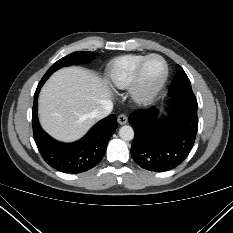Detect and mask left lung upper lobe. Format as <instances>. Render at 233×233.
<instances>
[{"label": "left lung upper lobe", "instance_id": "left-lung-upper-lobe-1", "mask_svg": "<svg viewBox=\"0 0 233 233\" xmlns=\"http://www.w3.org/2000/svg\"><path fill=\"white\" fill-rule=\"evenodd\" d=\"M169 92L172 95H175V94L193 95L194 94L192 91L191 83H190L188 76L186 75L184 70L179 65H177L176 67V74L169 87Z\"/></svg>", "mask_w": 233, "mask_h": 233}]
</instances>
